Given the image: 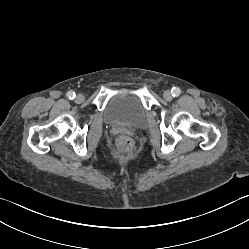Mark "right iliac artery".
Wrapping results in <instances>:
<instances>
[{"mask_svg": "<svg viewBox=\"0 0 249 249\" xmlns=\"http://www.w3.org/2000/svg\"><path fill=\"white\" fill-rule=\"evenodd\" d=\"M67 97H68L69 99H74V98L76 97V94H75L73 91H69V92L67 93Z\"/></svg>", "mask_w": 249, "mask_h": 249, "instance_id": "obj_1", "label": "right iliac artery"}]
</instances>
